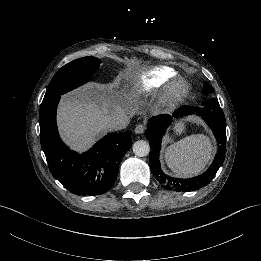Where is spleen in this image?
I'll list each match as a JSON object with an SVG mask.
<instances>
[{
	"instance_id": "3e777b00",
	"label": "spleen",
	"mask_w": 261,
	"mask_h": 261,
	"mask_svg": "<svg viewBox=\"0 0 261 261\" xmlns=\"http://www.w3.org/2000/svg\"><path fill=\"white\" fill-rule=\"evenodd\" d=\"M211 145L201 135L186 136L171 144L165 152L168 166L178 175H191L203 169L210 158Z\"/></svg>"
}]
</instances>
